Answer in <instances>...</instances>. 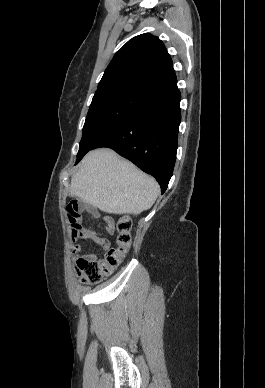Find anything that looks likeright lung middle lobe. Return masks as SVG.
<instances>
[{"mask_svg":"<svg viewBox=\"0 0 265 388\" xmlns=\"http://www.w3.org/2000/svg\"><path fill=\"white\" fill-rule=\"evenodd\" d=\"M145 100L127 92H96L83 127L76 163L101 138L129 118Z\"/></svg>","mask_w":265,"mask_h":388,"instance_id":"1","label":"right lung middle lobe"}]
</instances>
